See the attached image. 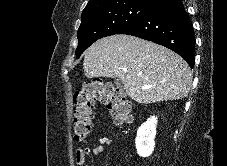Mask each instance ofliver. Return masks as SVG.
<instances>
[{
  "instance_id": "6515ba94",
  "label": "liver",
  "mask_w": 227,
  "mask_h": 166,
  "mask_svg": "<svg viewBox=\"0 0 227 166\" xmlns=\"http://www.w3.org/2000/svg\"><path fill=\"white\" fill-rule=\"evenodd\" d=\"M83 69L87 78H119L128 96L143 104L183 99L193 79L187 62L170 49L120 34L92 44Z\"/></svg>"
}]
</instances>
